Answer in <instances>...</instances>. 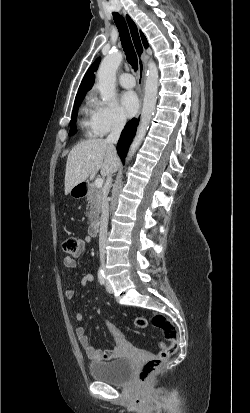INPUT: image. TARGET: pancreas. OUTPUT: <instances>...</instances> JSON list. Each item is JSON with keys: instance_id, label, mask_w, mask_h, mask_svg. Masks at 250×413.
Wrapping results in <instances>:
<instances>
[{"instance_id": "1", "label": "pancreas", "mask_w": 250, "mask_h": 413, "mask_svg": "<svg viewBox=\"0 0 250 413\" xmlns=\"http://www.w3.org/2000/svg\"><path fill=\"white\" fill-rule=\"evenodd\" d=\"M103 191L97 188L94 183H91L88 187V207L89 211L86 213L90 224H95L98 221L101 211Z\"/></svg>"}]
</instances>
